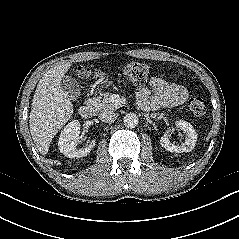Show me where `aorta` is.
Returning a JSON list of instances; mask_svg holds the SVG:
<instances>
[{"instance_id": "aorta-1", "label": "aorta", "mask_w": 239, "mask_h": 239, "mask_svg": "<svg viewBox=\"0 0 239 239\" xmlns=\"http://www.w3.org/2000/svg\"><path fill=\"white\" fill-rule=\"evenodd\" d=\"M123 122L127 128H135L138 125L139 119L135 113H127L123 118Z\"/></svg>"}]
</instances>
